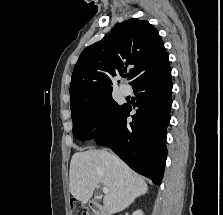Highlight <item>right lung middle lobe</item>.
I'll return each instance as SVG.
<instances>
[{"label":"right lung middle lobe","instance_id":"right-lung-middle-lobe-1","mask_svg":"<svg viewBox=\"0 0 223 215\" xmlns=\"http://www.w3.org/2000/svg\"><path fill=\"white\" fill-rule=\"evenodd\" d=\"M125 109L126 104L118 105L112 95L71 108L74 137L80 141L91 139V128L99 122L95 141L100 140L116 127Z\"/></svg>","mask_w":223,"mask_h":215}]
</instances>
